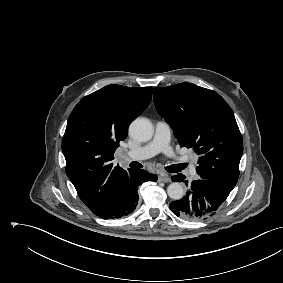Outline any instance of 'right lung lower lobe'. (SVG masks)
<instances>
[{"instance_id":"right-lung-lower-lobe-1","label":"right lung lower lobe","mask_w":283,"mask_h":283,"mask_svg":"<svg viewBox=\"0 0 283 283\" xmlns=\"http://www.w3.org/2000/svg\"><path fill=\"white\" fill-rule=\"evenodd\" d=\"M146 179L156 181L157 175L144 170H133L127 179L123 189L90 208V210L102 218H120L132 213L138 204V185Z\"/></svg>"}]
</instances>
